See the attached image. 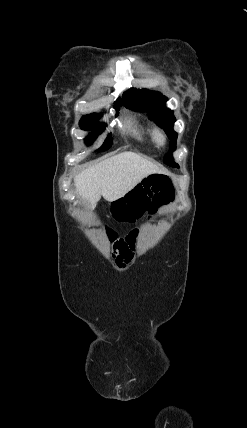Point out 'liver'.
<instances>
[{
  "mask_svg": "<svg viewBox=\"0 0 247 428\" xmlns=\"http://www.w3.org/2000/svg\"><path fill=\"white\" fill-rule=\"evenodd\" d=\"M163 171L134 152H121L91 166L75 176L78 194L94 208L103 196L116 201L151 174Z\"/></svg>",
  "mask_w": 247,
  "mask_h": 428,
  "instance_id": "1",
  "label": "liver"
}]
</instances>
